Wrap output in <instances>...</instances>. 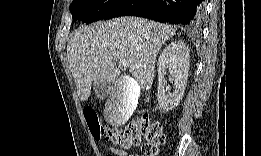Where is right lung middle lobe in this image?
<instances>
[{
    "label": "right lung middle lobe",
    "mask_w": 261,
    "mask_h": 156,
    "mask_svg": "<svg viewBox=\"0 0 261 156\" xmlns=\"http://www.w3.org/2000/svg\"><path fill=\"white\" fill-rule=\"evenodd\" d=\"M120 0H74L70 5L73 22L91 23L103 16Z\"/></svg>",
    "instance_id": "obj_1"
}]
</instances>
